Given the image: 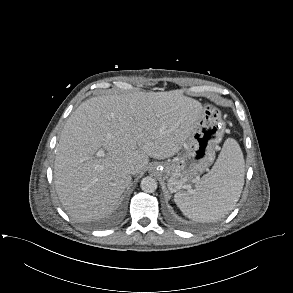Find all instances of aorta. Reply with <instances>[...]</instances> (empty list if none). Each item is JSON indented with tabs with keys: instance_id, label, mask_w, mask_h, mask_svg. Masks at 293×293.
<instances>
[{
	"instance_id": "762f6f07",
	"label": "aorta",
	"mask_w": 293,
	"mask_h": 293,
	"mask_svg": "<svg viewBox=\"0 0 293 293\" xmlns=\"http://www.w3.org/2000/svg\"><path fill=\"white\" fill-rule=\"evenodd\" d=\"M140 187L146 193H153L157 189V182L153 177L146 176L141 180Z\"/></svg>"
}]
</instances>
